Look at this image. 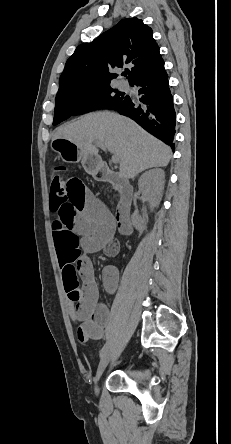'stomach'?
Returning a JSON list of instances; mask_svg holds the SVG:
<instances>
[{
	"label": "stomach",
	"instance_id": "0dacf381",
	"mask_svg": "<svg viewBox=\"0 0 231 444\" xmlns=\"http://www.w3.org/2000/svg\"><path fill=\"white\" fill-rule=\"evenodd\" d=\"M51 147L64 162L77 163L81 161L85 171L89 174H97L102 167V161L99 156L84 152L67 139H53Z\"/></svg>",
	"mask_w": 231,
	"mask_h": 444
}]
</instances>
